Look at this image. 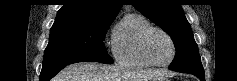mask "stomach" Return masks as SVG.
<instances>
[{"label":"stomach","mask_w":237,"mask_h":81,"mask_svg":"<svg viewBox=\"0 0 237 81\" xmlns=\"http://www.w3.org/2000/svg\"><path fill=\"white\" fill-rule=\"evenodd\" d=\"M152 81H168V78L167 77H160V78H157V79L152 80Z\"/></svg>","instance_id":"stomach-1"}]
</instances>
